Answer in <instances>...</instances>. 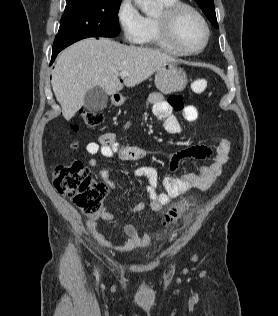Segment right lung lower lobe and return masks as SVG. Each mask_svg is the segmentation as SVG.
Listing matches in <instances>:
<instances>
[{
  "label": "right lung lower lobe",
  "mask_w": 278,
  "mask_h": 316,
  "mask_svg": "<svg viewBox=\"0 0 278 316\" xmlns=\"http://www.w3.org/2000/svg\"><path fill=\"white\" fill-rule=\"evenodd\" d=\"M61 50H56V51H52V58H51V63H53V61L55 60L57 54L60 52Z\"/></svg>",
  "instance_id": "right-lung-lower-lobe-1"
}]
</instances>
